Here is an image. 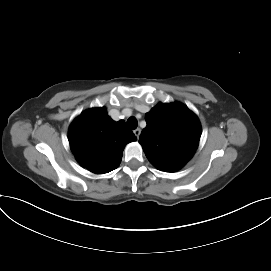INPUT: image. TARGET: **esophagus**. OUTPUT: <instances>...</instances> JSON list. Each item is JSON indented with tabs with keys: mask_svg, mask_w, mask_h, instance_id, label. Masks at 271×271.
<instances>
[{
	"mask_svg": "<svg viewBox=\"0 0 271 271\" xmlns=\"http://www.w3.org/2000/svg\"><path fill=\"white\" fill-rule=\"evenodd\" d=\"M140 133H141L140 128H137V129L134 130V134H135V136H136L137 138H139Z\"/></svg>",
	"mask_w": 271,
	"mask_h": 271,
	"instance_id": "34e87169",
	"label": "esophagus"
}]
</instances>
